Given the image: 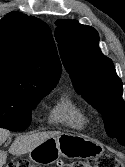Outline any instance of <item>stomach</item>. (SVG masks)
Instances as JSON below:
<instances>
[{"label": "stomach", "mask_w": 125, "mask_h": 167, "mask_svg": "<svg viewBox=\"0 0 125 167\" xmlns=\"http://www.w3.org/2000/svg\"><path fill=\"white\" fill-rule=\"evenodd\" d=\"M103 147L94 140L74 133H61L49 138L29 152V158L37 164H51L65 158H91L99 156Z\"/></svg>", "instance_id": "obj_1"}]
</instances>
